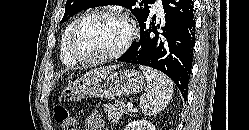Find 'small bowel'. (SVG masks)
<instances>
[{
	"instance_id": "small-bowel-1",
	"label": "small bowel",
	"mask_w": 249,
	"mask_h": 130,
	"mask_svg": "<svg viewBox=\"0 0 249 130\" xmlns=\"http://www.w3.org/2000/svg\"><path fill=\"white\" fill-rule=\"evenodd\" d=\"M104 127V120L97 110H93L85 119L84 130H103Z\"/></svg>"
}]
</instances>
